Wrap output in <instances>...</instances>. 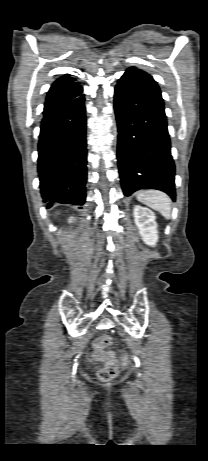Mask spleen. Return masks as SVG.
<instances>
[{
    "label": "spleen",
    "instance_id": "obj_1",
    "mask_svg": "<svg viewBox=\"0 0 208 461\" xmlns=\"http://www.w3.org/2000/svg\"><path fill=\"white\" fill-rule=\"evenodd\" d=\"M141 203L160 212L166 219L171 218V199L167 194L159 190H147L137 194Z\"/></svg>",
    "mask_w": 208,
    "mask_h": 461
}]
</instances>
